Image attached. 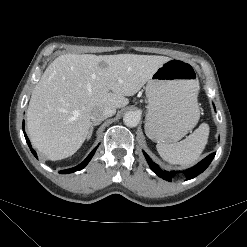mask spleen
I'll return each mask as SVG.
<instances>
[{
    "label": "spleen",
    "mask_w": 247,
    "mask_h": 247,
    "mask_svg": "<svg viewBox=\"0 0 247 247\" xmlns=\"http://www.w3.org/2000/svg\"><path fill=\"white\" fill-rule=\"evenodd\" d=\"M197 110L198 103L195 100ZM209 136V126L202 123L192 134L175 144L158 143L157 151L163 160L174 165L189 166L194 164L203 152Z\"/></svg>",
    "instance_id": "obj_1"
}]
</instances>
